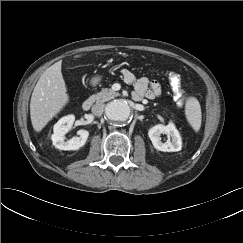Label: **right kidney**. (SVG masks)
Returning <instances> with one entry per match:
<instances>
[{"mask_svg": "<svg viewBox=\"0 0 243 243\" xmlns=\"http://www.w3.org/2000/svg\"><path fill=\"white\" fill-rule=\"evenodd\" d=\"M75 121L74 115H67L62 117L53 127V134L51 136L53 145L59 150H78L82 147L89 136L87 130L81 129L77 132L76 137L65 141V134L71 129Z\"/></svg>", "mask_w": 243, "mask_h": 243, "instance_id": "right-kidney-1", "label": "right kidney"}]
</instances>
